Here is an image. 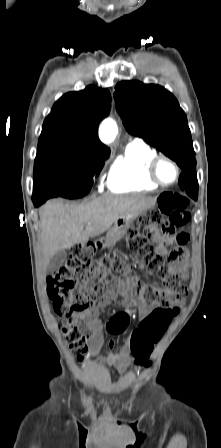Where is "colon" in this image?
<instances>
[{
	"instance_id": "1",
	"label": "colon",
	"mask_w": 221,
	"mask_h": 448,
	"mask_svg": "<svg viewBox=\"0 0 221 448\" xmlns=\"http://www.w3.org/2000/svg\"><path fill=\"white\" fill-rule=\"evenodd\" d=\"M157 204L156 209L143 216L126 232L128 248L136 253L160 283L159 286H154L134 277L126 279L134 296L140 297L145 305L155 307L152 315L144 319L131 336L134 365L140 368L150 366L153 343L161 339L177 316L179 308L176 303L187 291L182 284V273L172 268L156 252L154 242L157 234L147 229L152 225H159L165 236L185 231L184 226L190 221L189 200L175 192H167L159 195ZM142 227L146 228L144 233L141 232ZM122 267L119 255L113 258H94L91 245L73 246L68 258L47 279V295L53 310L58 316L66 317L94 305L102 291L103 282L108 278L109 269L119 271ZM62 333L73 350H83L85 335L79 327L71 321H65Z\"/></svg>"
}]
</instances>
